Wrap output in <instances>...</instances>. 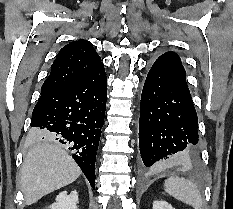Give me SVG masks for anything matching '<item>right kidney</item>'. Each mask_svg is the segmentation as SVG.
<instances>
[{"mask_svg":"<svg viewBox=\"0 0 233 209\" xmlns=\"http://www.w3.org/2000/svg\"><path fill=\"white\" fill-rule=\"evenodd\" d=\"M78 202V193L76 190L69 195L66 191L59 193L56 197V202L53 203L49 209H78L76 203Z\"/></svg>","mask_w":233,"mask_h":209,"instance_id":"right-kidney-1","label":"right kidney"}]
</instances>
